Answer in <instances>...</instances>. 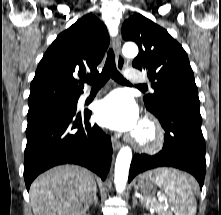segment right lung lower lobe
<instances>
[{"label": "right lung lower lobe", "instance_id": "obj_1", "mask_svg": "<svg viewBox=\"0 0 221 215\" xmlns=\"http://www.w3.org/2000/svg\"><path fill=\"white\" fill-rule=\"evenodd\" d=\"M90 115L59 109L28 121L24 156L27 190L40 173L66 163L84 166L106 178L112 158L111 139L97 125L88 123Z\"/></svg>", "mask_w": 221, "mask_h": 215}]
</instances>
